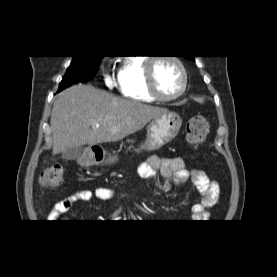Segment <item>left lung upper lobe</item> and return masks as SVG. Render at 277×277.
Wrapping results in <instances>:
<instances>
[{"label": "left lung upper lobe", "instance_id": "obj_1", "mask_svg": "<svg viewBox=\"0 0 277 277\" xmlns=\"http://www.w3.org/2000/svg\"><path fill=\"white\" fill-rule=\"evenodd\" d=\"M186 58H188L189 60H193L194 61V56L186 57Z\"/></svg>", "mask_w": 277, "mask_h": 277}]
</instances>
